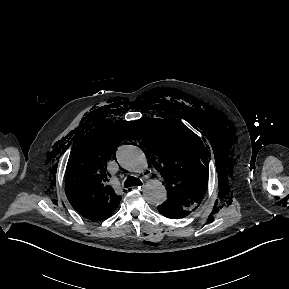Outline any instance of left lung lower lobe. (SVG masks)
Returning <instances> with one entry per match:
<instances>
[{
  "instance_id": "obj_1",
  "label": "left lung lower lobe",
  "mask_w": 289,
  "mask_h": 289,
  "mask_svg": "<svg viewBox=\"0 0 289 289\" xmlns=\"http://www.w3.org/2000/svg\"><path fill=\"white\" fill-rule=\"evenodd\" d=\"M158 211L163 216H165L167 218H171V219L183 218V217H186L187 215L190 214L188 211H185L182 209L172 208V207H169L166 205L158 206Z\"/></svg>"
}]
</instances>
